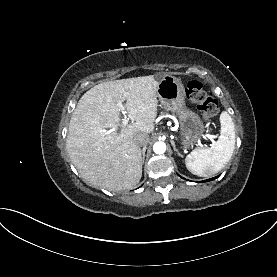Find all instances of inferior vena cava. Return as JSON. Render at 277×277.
<instances>
[{
	"mask_svg": "<svg viewBox=\"0 0 277 277\" xmlns=\"http://www.w3.org/2000/svg\"><path fill=\"white\" fill-rule=\"evenodd\" d=\"M135 142L140 146H146L149 142V135L146 133H138L134 137Z\"/></svg>",
	"mask_w": 277,
	"mask_h": 277,
	"instance_id": "602c4592",
	"label": "inferior vena cava"
}]
</instances>
